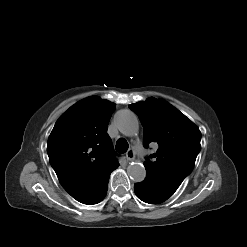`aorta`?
<instances>
[{"mask_svg":"<svg viewBox=\"0 0 247 247\" xmlns=\"http://www.w3.org/2000/svg\"><path fill=\"white\" fill-rule=\"evenodd\" d=\"M115 123L118 130L126 136L135 135L139 128L137 116L130 110L119 111ZM127 173L134 182H142L146 177L145 167L139 162H132L127 167Z\"/></svg>","mask_w":247,"mask_h":247,"instance_id":"1","label":"aorta"}]
</instances>
